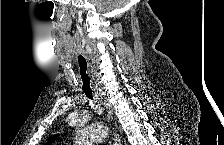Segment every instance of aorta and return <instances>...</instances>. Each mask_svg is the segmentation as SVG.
<instances>
[{"instance_id": "762f6f07", "label": "aorta", "mask_w": 224, "mask_h": 145, "mask_svg": "<svg viewBox=\"0 0 224 145\" xmlns=\"http://www.w3.org/2000/svg\"><path fill=\"white\" fill-rule=\"evenodd\" d=\"M109 135L108 129L102 124L81 127L76 131L77 145H92L105 140Z\"/></svg>"}]
</instances>
